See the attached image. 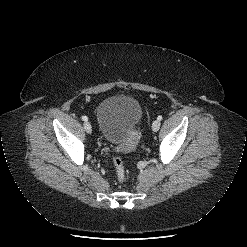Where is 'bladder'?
<instances>
[{"mask_svg": "<svg viewBox=\"0 0 247 247\" xmlns=\"http://www.w3.org/2000/svg\"><path fill=\"white\" fill-rule=\"evenodd\" d=\"M142 115L141 104L132 96L105 98L96 109L101 137L120 151L131 152L137 144L136 130Z\"/></svg>", "mask_w": 247, "mask_h": 247, "instance_id": "obj_1", "label": "bladder"}]
</instances>
